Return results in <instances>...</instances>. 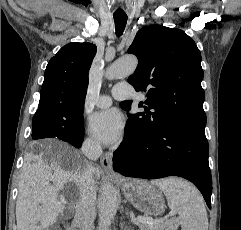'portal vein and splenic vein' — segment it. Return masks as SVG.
Segmentation results:
<instances>
[{"label":"portal vein and splenic vein","mask_w":241,"mask_h":230,"mask_svg":"<svg viewBox=\"0 0 241 230\" xmlns=\"http://www.w3.org/2000/svg\"><path fill=\"white\" fill-rule=\"evenodd\" d=\"M173 215V213H169L167 216H165L164 218H160V219H152V218H146V217H138L136 220L142 224H148L150 226L153 225H159L161 223H163L164 221H166L169 217H171Z\"/></svg>","instance_id":"portal-vein-and-splenic-vein-1"}]
</instances>
